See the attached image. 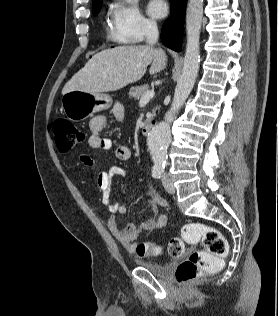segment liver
Returning a JSON list of instances; mask_svg holds the SVG:
<instances>
[{
    "instance_id": "6515ba94",
    "label": "liver",
    "mask_w": 278,
    "mask_h": 316,
    "mask_svg": "<svg viewBox=\"0 0 278 316\" xmlns=\"http://www.w3.org/2000/svg\"><path fill=\"white\" fill-rule=\"evenodd\" d=\"M150 65L153 75L166 68L163 49L148 45H130L95 54L64 86L62 93L82 91L102 93L119 90L141 79Z\"/></svg>"
}]
</instances>
